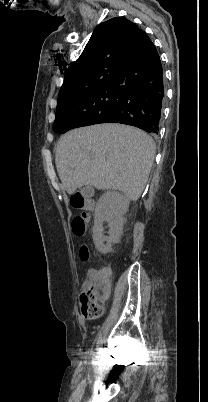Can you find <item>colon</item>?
Masks as SVG:
<instances>
[{"mask_svg": "<svg viewBox=\"0 0 208 402\" xmlns=\"http://www.w3.org/2000/svg\"><path fill=\"white\" fill-rule=\"evenodd\" d=\"M73 234L75 237L82 238L85 236L88 226L87 219L82 216H75L72 220ZM77 255L82 259L83 264L90 266L87 269L84 283L80 293V307L82 314H105L106 296H109L111 290V278L105 272H98L96 263H90L88 257V243H83V247L77 248ZM107 271V270H106Z\"/></svg>", "mask_w": 208, "mask_h": 402, "instance_id": "1", "label": "colon"}]
</instances>
